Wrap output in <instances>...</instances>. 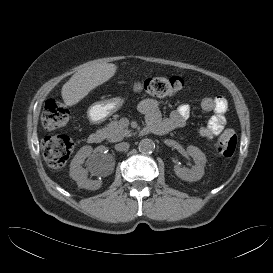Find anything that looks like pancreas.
<instances>
[{"label":"pancreas","mask_w":273,"mask_h":273,"mask_svg":"<svg viewBox=\"0 0 273 273\" xmlns=\"http://www.w3.org/2000/svg\"><path fill=\"white\" fill-rule=\"evenodd\" d=\"M102 132L109 142H117L131 135V132L117 120L111 121Z\"/></svg>","instance_id":"obj_1"}]
</instances>
